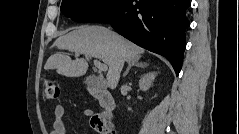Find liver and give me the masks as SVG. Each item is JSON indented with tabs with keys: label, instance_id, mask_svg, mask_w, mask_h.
Here are the masks:
<instances>
[{
	"label": "liver",
	"instance_id": "obj_1",
	"mask_svg": "<svg viewBox=\"0 0 239 134\" xmlns=\"http://www.w3.org/2000/svg\"><path fill=\"white\" fill-rule=\"evenodd\" d=\"M53 46L102 60L109 66L106 77L111 89L116 88L124 63L138 61L144 53V49L103 26H79L60 36ZM44 68L55 69L66 77H79L87 72L88 63L84 58L72 60L67 55L56 53L48 58Z\"/></svg>",
	"mask_w": 239,
	"mask_h": 134
}]
</instances>
